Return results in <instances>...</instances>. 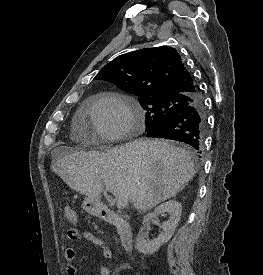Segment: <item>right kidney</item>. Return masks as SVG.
I'll return each instance as SVG.
<instances>
[{"label": "right kidney", "mask_w": 263, "mask_h": 275, "mask_svg": "<svg viewBox=\"0 0 263 275\" xmlns=\"http://www.w3.org/2000/svg\"><path fill=\"white\" fill-rule=\"evenodd\" d=\"M181 212L182 205L176 200H170L156 207L154 212L146 214L143 218V226L136 237V249L143 254L155 253L174 234L180 221ZM164 213H168L170 217L166 222H163L161 234L153 240H148L144 230L149 228L150 221L157 219L160 214Z\"/></svg>", "instance_id": "ca27d5eb"}]
</instances>
